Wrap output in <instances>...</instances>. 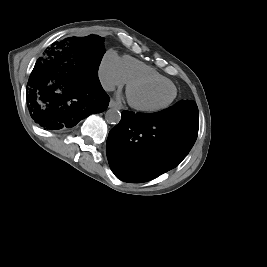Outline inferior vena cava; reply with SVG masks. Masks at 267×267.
Listing matches in <instances>:
<instances>
[{"label":"inferior vena cava","mask_w":267,"mask_h":267,"mask_svg":"<svg viewBox=\"0 0 267 267\" xmlns=\"http://www.w3.org/2000/svg\"><path fill=\"white\" fill-rule=\"evenodd\" d=\"M101 84L106 91H113L115 89V85L107 80L102 79Z\"/></svg>","instance_id":"1"}]
</instances>
